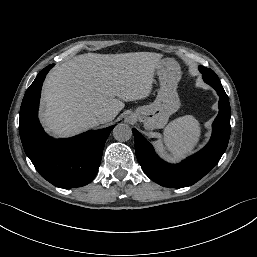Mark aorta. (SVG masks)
<instances>
[{
	"mask_svg": "<svg viewBox=\"0 0 257 257\" xmlns=\"http://www.w3.org/2000/svg\"><path fill=\"white\" fill-rule=\"evenodd\" d=\"M113 136L116 140L125 142L132 136V130L129 125L120 123L113 129Z\"/></svg>",
	"mask_w": 257,
	"mask_h": 257,
	"instance_id": "762f6f07",
	"label": "aorta"
}]
</instances>
